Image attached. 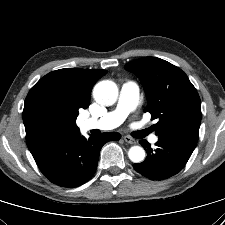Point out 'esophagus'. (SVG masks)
<instances>
[{
  "instance_id": "1",
  "label": "esophagus",
  "mask_w": 225,
  "mask_h": 225,
  "mask_svg": "<svg viewBox=\"0 0 225 225\" xmlns=\"http://www.w3.org/2000/svg\"><path fill=\"white\" fill-rule=\"evenodd\" d=\"M123 139L128 144H136V140L130 136H124Z\"/></svg>"
}]
</instances>
